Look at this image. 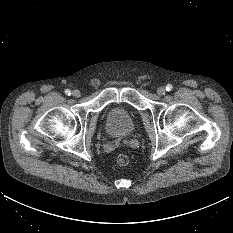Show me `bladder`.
I'll use <instances>...</instances> for the list:
<instances>
[{
  "label": "bladder",
  "mask_w": 233,
  "mask_h": 233,
  "mask_svg": "<svg viewBox=\"0 0 233 233\" xmlns=\"http://www.w3.org/2000/svg\"><path fill=\"white\" fill-rule=\"evenodd\" d=\"M106 129L115 138L130 135L135 127L134 117L129 110L120 105L112 106L106 115Z\"/></svg>",
  "instance_id": "31cf9c89"
}]
</instances>
